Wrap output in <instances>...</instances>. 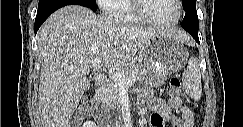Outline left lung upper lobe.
<instances>
[{"mask_svg":"<svg viewBox=\"0 0 243 127\" xmlns=\"http://www.w3.org/2000/svg\"><path fill=\"white\" fill-rule=\"evenodd\" d=\"M183 7L187 14H197L196 0H183Z\"/></svg>","mask_w":243,"mask_h":127,"instance_id":"obj_1","label":"left lung upper lobe"}]
</instances>
